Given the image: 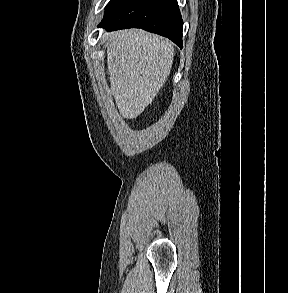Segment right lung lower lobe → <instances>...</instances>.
<instances>
[{
	"label": "right lung lower lobe",
	"instance_id": "obj_1",
	"mask_svg": "<svg viewBox=\"0 0 288 293\" xmlns=\"http://www.w3.org/2000/svg\"><path fill=\"white\" fill-rule=\"evenodd\" d=\"M99 26L108 31L142 28L165 36L182 48L183 21L177 0H129Z\"/></svg>",
	"mask_w": 288,
	"mask_h": 293
}]
</instances>
